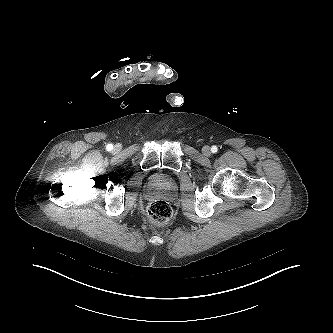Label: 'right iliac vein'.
Returning a JSON list of instances; mask_svg holds the SVG:
<instances>
[{"label": "right iliac vein", "mask_w": 333, "mask_h": 333, "mask_svg": "<svg viewBox=\"0 0 333 333\" xmlns=\"http://www.w3.org/2000/svg\"><path fill=\"white\" fill-rule=\"evenodd\" d=\"M120 149V147L118 146V145H116L115 147H114V151H118Z\"/></svg>", "instance_id": "right-iliac-vein-1"}]
</instances>
